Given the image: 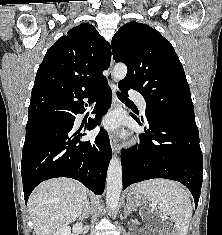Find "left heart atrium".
Masks as SVG:
<instances>
[{
  "instance_id": "obj_1",
  "label": "left heart atrium",
  "mask_w": 222,
  "mask_h": 235,
  "mask_svg": "<svg viewBox=\"0 0 222 235\" xmlns=\"http://www.w3.org/2000/svg\"><path fill=\"white\" fill-rule=\"evenodd\" d=\"M102 125L108 130H115L120 125V117L116 113H110L103 118Z\"/></svg>"
}]
</instances>
